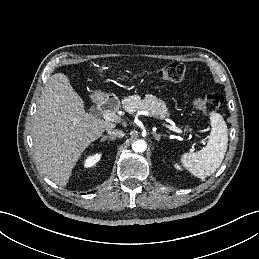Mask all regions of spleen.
Segmentation results:
<instances>
[{"label": "spleen", "instance_id": "1", "mask_svg": "<svg viewBox=\"0 0 259 259\" xmlns=\"http://www.w3.org/2000/svg\"><path fill=\"white\" fill-rule=\"evenodd\" d=\"M211 132L206 147L198 152L181 156L184 167L194 176L204 180L221 165L228 147L227 125L219 113L210 116Z\"/></svg>", "mask_w": 259, "mask_h": 259}]
</instances>
